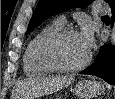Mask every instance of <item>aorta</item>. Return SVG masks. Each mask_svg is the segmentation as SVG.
Masks as SVG:
<instances>
[{
    "label": "aorta",
    "instance_id": "762f6f07",
    "mask_svg": "<svg viewBox=\"0 0 115 99\" xmlns=\"http://www.w3.org/2000/svg\"><path fill=\"white\" fill-rule=\"evenodd\" d=\"M110 42L112 46H115V24L112 28V33H111V38H110Z\"/></svg>",
    "mask_w": 115,
    "mask_h": 99
}]
</instances>
